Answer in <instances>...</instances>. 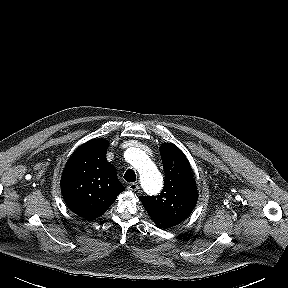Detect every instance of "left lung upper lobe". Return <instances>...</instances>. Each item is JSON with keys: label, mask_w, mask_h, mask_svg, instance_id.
<instances>
[{"label": "left lung upper lobe", "mask_w": 288, "mask_h": 288, "mask_svg": "<svg viewBox=\"0 0 288 288\" xmlns=\"http://www.w3.org/2000/svg\"><path fill=\"white\" fill-rule=\"evenodd\" d=\"M165 172L164 188L160 195L143 196L140 200L159 227H172L185 220L197 203V189L189 162L173 144L160 148Z\"/></svg>", "instance_id": "5c2ea615"}]
</instances>
